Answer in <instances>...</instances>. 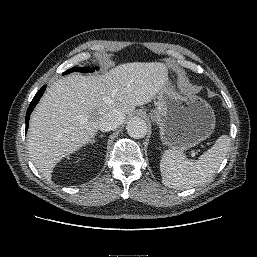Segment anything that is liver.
<instances>
[{
    "instance_id": "1",
    "label": "liver",
    "mask_w": 257,
    "mask_h": 257,
    "mask_svg": "<svg viewBox=\"0 0 257 257\" xmlns=\"http://www.w3.org/2000/svg\"><path fill=\"white\" fill-rule=\"evenodd\" d=\"M160 62L121 64L104 75H70L54 82L29 123L28 150L39 172L51 179L55 165L91 141L100 119L117 110L125 118L163 90Z\"/></svg>"
}]
</instances>
